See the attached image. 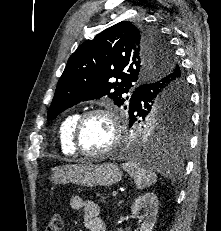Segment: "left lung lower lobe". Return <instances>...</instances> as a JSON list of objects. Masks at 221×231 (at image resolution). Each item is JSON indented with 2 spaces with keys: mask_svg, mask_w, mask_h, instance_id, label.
<instances>
[{
  "mask_svg": "<svg viewBox=\"0 0 221 231\" xmlns=\"http://www.w3.org/2000/svg\"><path fill=\"white\" fill-rule=\"evenodd\" d=\"M175 78H179L178 72L176 71L159 80L139 86L133 92L130 101L134 104L138 103L139 106L145 98H148L152 94L170 92L171 95L172 91L178 86V84L173 82ZM179 85L186 89L188 93L185 78L181 79ZM170 100L176 108L183 106L186 102V100L182 99V97H177L175 93L170 97ZM134 121L135 119L129 123L130 127L133 125ZM138 145L139 147L133 151L135 157L155 160L158 162L162 161V163L166 162L167 166L171 167L170 160H175V156L180 157L185 152L187 148V138L185 134H177L176 136L166 137L164 135L153 133L144 139H140ZM155 153L159 155L153 158ZM169 153L174 155L171 159L169 157Z\"/></svg>",
  "mask_w": 221,
  "mask_h": 231,
  "instance_id": "obj_1",
  "label": "left lung lower lobe"
}]
</instances>
